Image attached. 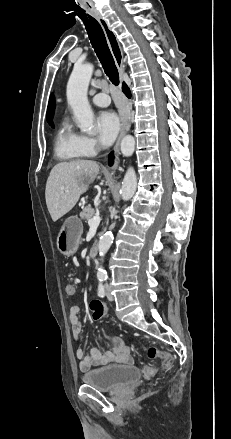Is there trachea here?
<instances>
[{"mask_svg":"<svg viewBox=\"0 0 231 439\" xmlns=\"http://www.w3.org/2000/svg\"><path fill=\"white\" fill-rule=\"evenodd\" d=\"M84 25L105 74L109 77V80L117 86L119 84V73L108 47L102 27L92 16H84Z\"/></svg>","mask_w":231,"mask_h":439,"instance_id":"3493384b","label":"trachea"}]
</instances>
